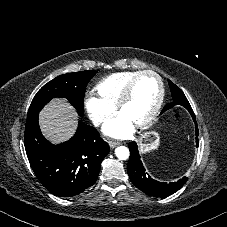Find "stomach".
<instances>
[{
  "label": "stomach",
  "instance_id": "0dacf381",
  "mask_svg": "<svg viewBox=\"0 0 227 227\" xmlns=\"http://www.w3.org/2000/svg\"><path fill=\"white\" fill-rule=\"evenodd\" d=\"M160 145V136L155 131H148L142 135L139 140V148L141 153H147L155 150Z\"/></svg>",
  "mask_w": 227,
  "mask_h": 227
}]
</instances>
